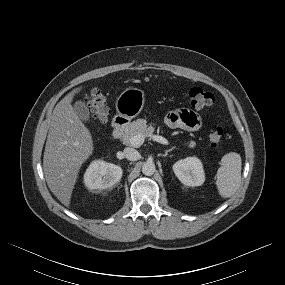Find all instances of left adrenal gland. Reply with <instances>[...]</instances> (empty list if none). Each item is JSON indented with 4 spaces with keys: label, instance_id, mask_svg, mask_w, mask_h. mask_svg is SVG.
<instances>
[{
    "label": "left adrenal gland",
    "instance_id": "1",
    "mask_svg": "<svg viewBox=\"0 0 285 285\" xmlns=\"http://www.w3.org/2000/svg\"><path fill=\"white\" fill-rule=\"evenodd\" d=\"M173 149H175V147H172V148L166 150V151H165V154H163L162 156H163V157H166V156L168 155V153H169L170 151H172Z\"/></svg>",
    "mask_w": 285,
    "mask_h": 285
}]
</instances>
